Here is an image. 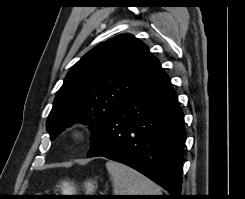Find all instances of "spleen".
I'll return each instance as SVG.
<instances>
[{"label": "spleen", "instance_id": "spleen-1", "mask_svg": "<svg viewBox=\"0 0 245 199\" xmlns=\"http://www.w3.org/2000/svg\"><path fill=\"white\" fill-rule=\"evenodd\" d=\"M114 195H162L154 182L136 170L114 161L106 162Z\"/></svg>", "mask_w": 245, "mask_h": 199}]
</instances>
